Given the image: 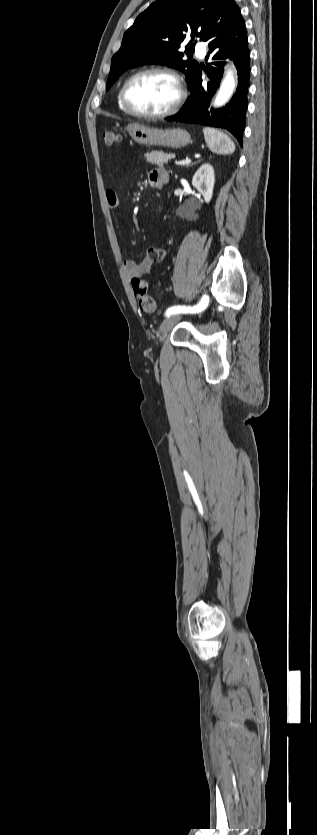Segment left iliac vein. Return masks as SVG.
I'll use <instances>...</instances> for the list:
<instances>
[{
    "label": "left iliac vein",
    "mask_w": 317,
    "mask_h": 835,
    "mask_svg": "<svg viewBox=\"0 0 317 835\" xmlns=\"http://www.w3.org/2000/svg\"><path fill=\"white\" fill-rule=\"evenodd\" d=\"M179 320H180V316H178V315H175V314H174V315H171V316H169V317L165 318V319L162 321V323H161V325H160V330H159L160 340H163V339L165 338V336L167 335V333H168V332H169V331L173 328V326H174V325H175V324H176Z\"/></svg>",
    "instance_id": "4c4485c4"
}]
</instances>
